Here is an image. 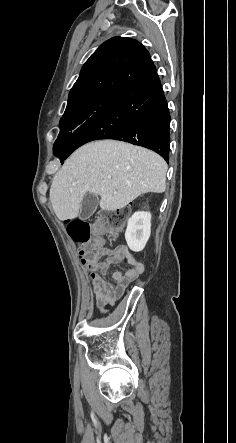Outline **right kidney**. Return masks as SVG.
Instances as JSON below:
<instances>
[{
    "mask_svg": "<svg viewBox=\"0 0 236 443\" xmlns=\"http://www.w3.org/2000/svg\"><path fill=\"white\" fill-rule=\"evenodd\" d=\"M151 234L150 212H135L128 220L125 239L132 251H142Z\"/></svg>",
    "mask_w": 236,
    "mask_h": 443,
    "instance_id": "obj_1",
    "label": "right kidney"
}]
</instances>
